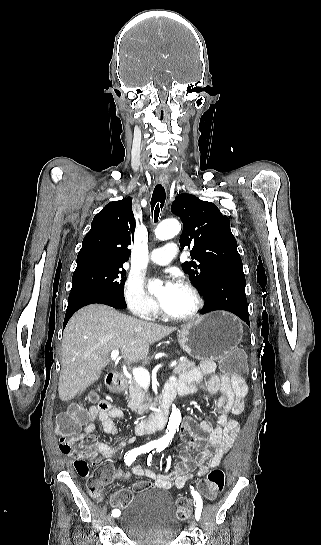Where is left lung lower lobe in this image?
I'll list each match as a JSON object with an SVG mask.
<instances>
[{"instance_id": "1", "label": "left lung lower lobe", "mask_w": 321, "mask_h": 545, "mask_svg": "<svg viewBox=\"0 0 321 545\" xmlns=\"http://www.w3.org/2000/svg\"><path fill=\"white\" fill-rule=\"evenodd\" d=\"M243 269H233L214 276L202 292L205 304L200 313L226 310L234 313L249 326Z\"/></svg>"}]
</instances>
